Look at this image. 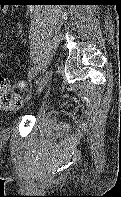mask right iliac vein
I'll use <instances>...</instances> for the list:
<instances>
[{
	"instance_id": "right-iliac-vein-1",
	"label": "right iliac vein",
	"mask_w": 121,
	"mask_h": 197,
	"mask_svg": "<svg viewBox=\"0 0 121 197\" xmlns=\"http://www.w3.org/2000/svg\"><path fill=\"white\" fill-rule=\"evenodd\" d=\"M49 81V73L47 72L44 77L42 78L41 82L38 85L37 92H40L44 89Z\"/></svg>"
}]
</instances>
